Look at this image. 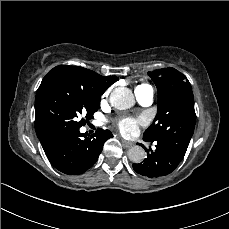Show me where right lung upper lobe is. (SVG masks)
Listing matches in <instances>:
<instances>
[{"mask_svg": "<svg viewBox=\"0 0 229 229\" xmlns=\"http://www.w3.org/2000/svg\"><path fill=\"white\" fill-rule=\"evenodd\" d=\"M52 73H61L75 78L89 93L99 97L118 80L116 76L103 77L94 71L79 66L59 65L48 74Z\"/></svg>", "mask_w": 229, "mask_h": 229, "instance_id": "cb5924a9", "label": "right lung upper lobe"}]
</instances>
